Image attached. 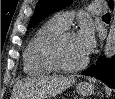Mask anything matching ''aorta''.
I'll list each match as a JSON object with an SVG mask.
<instances>
[{
    "instance_id": "1",
    "label": "aorta",
    "mask_w": 115,
    "mask_h": 99,
    "mask_svg": "<svg viewBox=\"0 0 115 99\" xmlns=\"http://www.w3.org/2000/svg\"><path fill=\"white\" fill-rule=\"evenodd\" d=\"M104 54L106 58H111L115 55V15L106 40Z\"/></svg>"
}]
</instances>
